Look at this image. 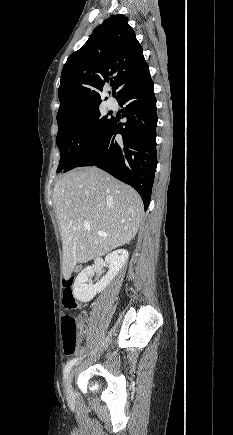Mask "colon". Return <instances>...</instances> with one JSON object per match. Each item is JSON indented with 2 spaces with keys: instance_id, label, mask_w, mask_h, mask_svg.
<instances>
[{
  "instance_id": "colon-1",
  "label": "colon",
  "mask_w": 233,
  "mask_h": 435,
  "mask_svg": "<svg viewBox=\"0 0 233 435\" xmlns=\"http://www.w3.org/2000/svg\"><path fill=\"white\" fill-rule=\"evenodd\" d=\"M73 279L63 282V305L67 310H75L79 307L73 294ZM78 337V318L70 313L62 316V340L65 354H73L76 350Z\"/></svg>"
}]
</instances>
